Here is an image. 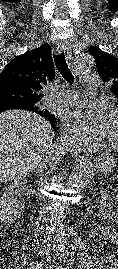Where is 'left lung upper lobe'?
I'll list each match as a JSON object with an SVG mask.
<instances>
[{"label":"left lung upper lobe","mask_w":118,"mask_h":269,"mask_svg":"<svg viewBox=\"0 0 118 269\" xmlns=\"http://www.w3.org/2000/svg\"><path fill=\"white\" fill-rule=\"evenodd\" d=\"M89 53L95 58L100 78L111 87V92L118 97V59L96 46H90Z\"/></svg>","instance_id":"obj_1"}]
</instances>
